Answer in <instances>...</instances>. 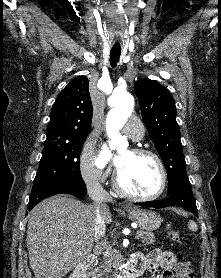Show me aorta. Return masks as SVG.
Masks as SVG:
<instances>
[{
    "label": "aorta",
    "mask_w": 221,
    "mask_h": 278,
    "mask_svg": "<svg viewBox=\"0 0 221 278\" xmlns=\"http://www.w3.org/2000/svg\"><path fill=\"white\" fill-rule=\"evenodd\" d=\"M113 108L106 118V131L110 139V148L115 149L121 141L120 129L133 112L134 99L129 92L117 93L113 96Z\"/></svg>",
    "instance_id": "1"
}]
</instances>
